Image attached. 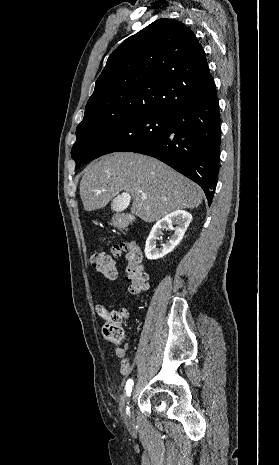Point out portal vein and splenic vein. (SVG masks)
<instances>
[{"label":"portal vein and splenic vein","mask_w":279,"mask_h":465,"mask_svg":"<svg viewBox=\"0 0 279 465\" xmlns=\"http://www.w3.org/2000/svg\"><path fill=\"white\" fill-rule=\"evenodd\" d=\"M122 197H124V198L129 202V200H130V195H129V194L123 193V194H122ZM142 198H143V199H146V198H147V195L143 193V194H142Z\"/></svg>","instance_id":"1"}]
</instances>
